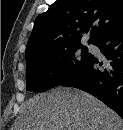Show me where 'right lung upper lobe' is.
<instances>
[{
	"label": "right lung upper lobe",
	"instance_id": "obj_1",
	"mask_svg": "<svg viewBox=\"0 0 123 130\" xmlns=\"http://www.w3.org/2000/svg\"><path fill=\"white\" fill-rule=\"evenodd\" d=\"M123 26V0H57L40 14L26 47V61L80 44L85 33L94 44Z\"/></svg>",
	"mask_w": 123,
	"mask_h": 130
}]
</instances>
